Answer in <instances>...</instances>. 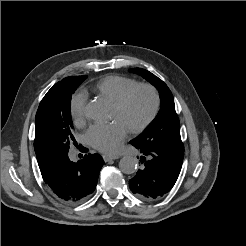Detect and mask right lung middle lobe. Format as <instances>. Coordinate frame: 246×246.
Instances as JSON below:
<instances>
[{"label": "right lung middle lobe", "mask_w": 246, "mask_h": 246, "mask_svg": "<svg viewBox=\"0 0 246 246\" xmlns=\"http://www.w3.org/2000/svg\"><path fill=\"white\" fill-rule=\"evenodd\" d=\"M87 76H72L56 83L39 105L40 138L47 158L68 154L72 135L70 101Z\"/></svg>", "instance_id": "right-lung-middle-lobe-1"}]
</instances>
